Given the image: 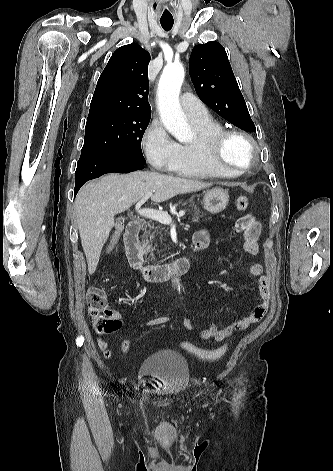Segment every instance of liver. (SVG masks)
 <instances>
[{"mask_svg": "<svg viewBox=\"0 0 333 471\" xmlns=\"http://www.w3.org/2000/svg\"><path fill=\"white\" fill-rule=\"evenodd\" d=\"M209 186L210 183L151 171L107 174L98 181L87 183L77 194L75 214L89 274L97 268L116 214L129 209L147 192H153L151 200L160 203Z\"/></svg>", "mask_w": 333, "mask_h": 471, "instance_id": "obj_1", "label": "liver"}]
</instances>
